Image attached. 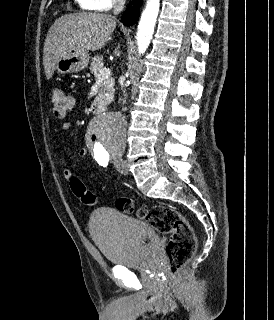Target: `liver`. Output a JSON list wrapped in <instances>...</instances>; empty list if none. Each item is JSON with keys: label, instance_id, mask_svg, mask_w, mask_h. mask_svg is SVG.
I'll list each match as a JSON object with an SVG mask.
<instances>
[{"label": "liver", "instance_id": "6515ba94", "mask_svg": "<svg viewBox=\"0 0 274 320\" xmlns=\"http://www.w3.org/2000/svg\"><path fill=\"white\" fill-rule=\"evenodd\" d=\"M116 28L115 18L109 14H65L55 20L44 44L43 66L47 80L63 54L70 50L96 52L106 46Z\"/></svg>", "mask_w": 274, "mask_h": 320}]
</instances>
